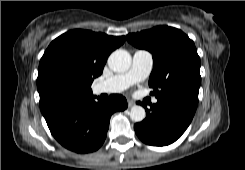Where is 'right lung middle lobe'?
Listing matches in <instances>:
<instances>
[{
    "instance_id": "dd1d6c3e",
    "label": "right lung middle lobe",
    "mask_w": 245,
    "mask_h": 170,
    "mask_svg": "<svg viewBox=\"0 0 245 170\" xmlns=\"http://www.w3.org/2000/svg\"><path fill=\"white\" fill-rule=\"evenodd\" d=\"M57 89H58L60 92L66 93V92H69V91L72 89V84L69 83V82H60V83L58 84Z\"/></svg>"
}]
</instances>
